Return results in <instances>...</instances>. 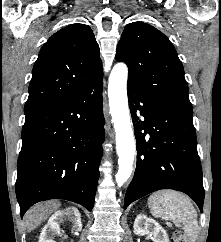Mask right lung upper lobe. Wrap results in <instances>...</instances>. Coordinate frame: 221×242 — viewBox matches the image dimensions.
Returning a JSON list of instances; mask_svg holds the SVG:
<instances>
[{
    "label": "right lung upper lobe",
    "mask_w": 221,
    "mask_h": 242,
    "mask_svg": "<svg viewBox=\"0 0 221 242\" xmlns=\"http://www.w3.org/2000/svg\"><path fill=\"white\" fill-rule=\"evenodd\" d=\"M103 76L99 46L88 25H69L42 46L24 111L62 101Z\"/></svg>",
    "instance_id": "cb5924a9"
}]
</instances>
